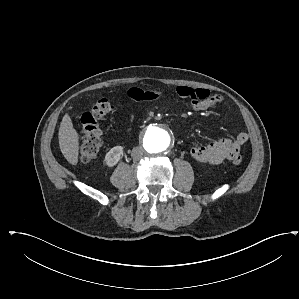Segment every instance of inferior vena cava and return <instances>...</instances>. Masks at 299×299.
I'll list each match as a JSON object with an SVG mask.
<instances>
[{
	"label": "inferior vena cava",
	"mask_w": 299,
	"mask_h": 299,
	"mask_svg": "<svg viewBox=\"0 0 299 299\" xmlns=\"http://www.w3.org/2000/svg\"><path fill=\"white\" fill-rule=\"evenodd\" d=\"M144 150L142 147H134L132 149L131 156L134 160H139L143 157Z\"/></svg>",
	"instance_id": "602c4592"
}]
</instances>
